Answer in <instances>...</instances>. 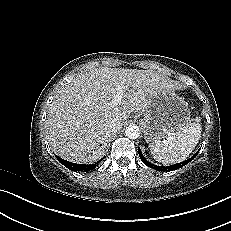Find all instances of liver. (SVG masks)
Listing matches in <instances>:
<instances>
[{"mask_svg": "<svg viewBox=\"0 0 231 231\" xmlns=\"http://www.w3.org/2000/svg\"><path fill=\"white\" fill-rule=\"evenodd\" d=\"M180 88L153 70L101 67L78 75L57 92L47 113L49 144L63 159L93 163L105 154L107 125L122 128L131 112L145 111L159 91ZM119 89L122 99L113 105Z\"/></svg>", "mask_w": 231, "mask_h": 231, "instance_id": "1", "label": "liver"}]
</instances>
